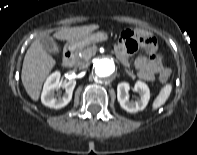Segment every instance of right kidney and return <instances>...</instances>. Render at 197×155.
<instances>
[{"mask_svg":"<svg viewBox=\"0 0 197 155\" xmlns=\"http://www.w3.org/2000/svg\"><path fill=\"white\" fill-rule=\"evenodd\" d=\"M75 85V80L60 81V72L56 71L47 77L45 81L41 95V102L49 108L60 109L71 101ZM60 87L65 88V94L62 96L58 95L56 98L55 91Z\"/></svg>","mask_w":197,"mask_h":155,"instance_id":"ca27d5eb","label":"right kidney"}]
</instances>
